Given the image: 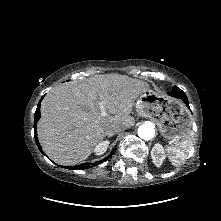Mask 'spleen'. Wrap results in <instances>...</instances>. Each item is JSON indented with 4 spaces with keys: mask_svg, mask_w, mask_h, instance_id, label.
Here are the masks:
<instances>
[{
    "mask_svg": "<svg viewBox=\"0 0 221 221\" xmlns=\"http://www.w3.org/2000/svg\"><path fill=\"white\" fill-rule=\"evenodd\" d=\"M192 137L193 132L189 131L183 140L176 142L172 146L166 147L167 156L172 165L178 166L187 159L192 149Z\"/></svg>",
    "mask_w": 221,
    "mask_h": 221,
    "instance_id": "3e777b00",
    "label": "spleen"
}]
</instances>
